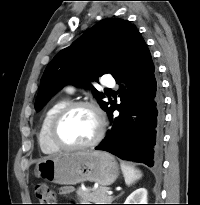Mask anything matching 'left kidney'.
I'll return each mask as SVG.
<instances>
[{
    "instance_id": "5707ae66",
    "label": "left kidney",
    "mask_w": 200,
    "mask_h": 205,
    "mask_svg": "<svg viewBox=\"0 0 200 205\" xmlns=\"http://www.w3.org/2000/svg\"><path fill=\"white\" fill-rule=\"evenodd\" d=\"M124 204H147V190L145 188H138L132 192Z\"/></svg>"
}]
</instances>
